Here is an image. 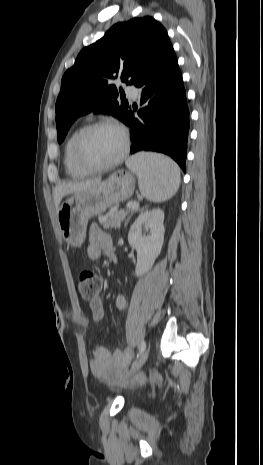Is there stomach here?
Returning a JSON list of instances; mask_svg holds the SVG:
<instances>
[{"label":"stomach","instance_id":"stomach-1","mask_svg":"<svg viewBox=\"0 0 263 465\" xmlns=\"http://www.w3.org/2000/svg\"><path fill=\"white\" fill-rule=\"evenodd\" d=\"M134 188L133 174L118 170L105 181L72 193L57 212L58 226L63 239L72 246H81L86 237L88 220L114 204L129 199Z\"/></svg>","mask_w":263,"mask_h":465}]
</instances>
